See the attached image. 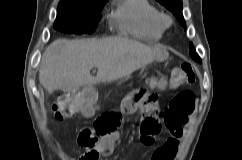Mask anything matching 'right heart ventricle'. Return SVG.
<instances>
[{
    "label": "right heart ventricle",
    "instance_id": "right-heart-ventricle-1",
    "mask_svg": "<svg viewBox=\"0 0 242 160\" xmlns=\"http://www.w3.org/2000/svg\"><path fill=\"white\" fill-rule=\"evenodd\" d=\"M161 12L150 0H118L110 21L121 34L145 41L162 38Z\"/></svg>",
    "mask_w": 242,
    "mask_h": 160
}]
</instances>
